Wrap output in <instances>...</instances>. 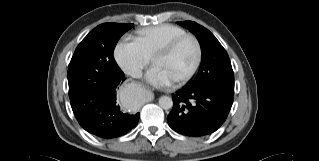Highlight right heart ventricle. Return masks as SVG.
<instances>
[{
    "label": "right heart ventricle",
    "mask_w": 319,
    "mask_h": 161,
    "mask_svg": "<svg viewBox=\"0 0 319 161\" xmlns=\"http://www.w3.org/2000/svg\"><path fill=\"white\" fill-rule=\"evenodd\" d=\"M183 34H186V31L179 26L159 24L139 29L134 42L148 59H152L163 45Z\"/></svg>",
    "instance_id": "1"
}]
</instances>
